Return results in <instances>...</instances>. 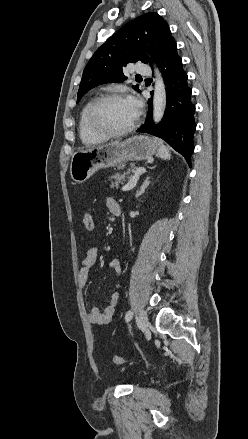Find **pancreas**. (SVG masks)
<instances>
[{
  "label": "pancreas",
  "mask_w": 248,
  "mask_h": 439,
  "mask_svg": "<svg viewBox=\"0 0 248 439\" xmlns=\"http://www.w3.org/2000/svg\"><path fill=\"white\" fill-rule=\"evenodd\" d=\"M134 172L133 169L128 170L127 172L123 174H114L109 177L110 181V187H118L119 184L123 183L126 179L131 180L132 179V173ZM114 180V181H113Z\"/></svg>",
  "instance_id": "1"
}]
</instances>
